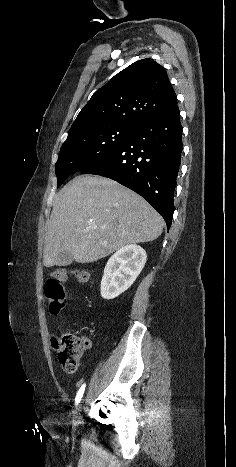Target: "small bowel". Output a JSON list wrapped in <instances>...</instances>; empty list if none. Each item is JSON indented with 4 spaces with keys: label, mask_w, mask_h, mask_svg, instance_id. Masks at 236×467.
Masks as SVG:
<instances>
[{
    "label": "small bowel",
    "mask_w": 236,
    "mask_h": 467,
    "mask_svg": "<svg viewBox=\"0 0 236 467\" xmlns=\"http://www.w3.org/2000/svg\"><path fill=\"white\" fill-rule=\"evenodd\" d=\"M89 348H90V343H89L88 340H87L86 348H85V349H89Z\"/></svg>",
    "instance_id": "small-bowel-1"
}]
</instances>
